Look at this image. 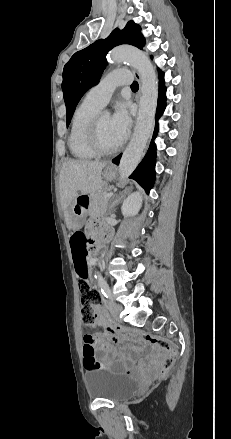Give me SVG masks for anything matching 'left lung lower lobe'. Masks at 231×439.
Masks as SVG:
<instances>
[{
  "label": "left lung lower lobe",
  "instance_id": "0a47b994",
  "mask_svg": "<svg viewBox=\"0 0 231 439\" xmlns=\"http://www.w3.org/2000/svg\"><path fill=\"white\" fill-rule=\"evenodd\" d=\"M160 85H159V98H158V106L156 111V120L158 121L159 117L163 114L166 106V88L164 84V74L160 72L159 75ZM158 132V125L155 127L153 139L151 141L149 150L145 155L144 159L135 169V171L131 174L130 178L136 180L147 193H149L152 188L155 180V159H156V146L154 143V139ZM121 155L117 156L112 162L116 165L119 164Z\"/></svg>",
  "mask_w": 231,
  "mask_h": 439
}]
</instances>
